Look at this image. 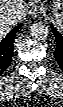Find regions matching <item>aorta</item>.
Masks as SVG:
<instances>
[{
  "instance_id": "762f6f07",
  "label": "aorta",
  "mask_w": 63,
  "mask_h": 107,
  "mask_svg": "<svg viewBox=\"0 0 63 107\" xmlns=\"http://www.w3.org/2000/svg\"><path fill=\"white\" fill-rule=\"evenodd\" d=\"M30 35L35 40H45L49 35V28L43 22L33 23L30 26Z\"/></svg>"
}]
</instances>
